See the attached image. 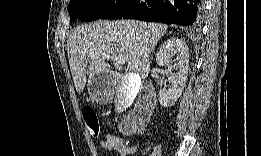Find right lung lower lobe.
<instances>
[{
	"label": "right lung lower lobe",
	"instance_id": "98d812e1",
	"mask_svg": "<svg viewBox=\"0 0 261 156\" xmlns=\"http://www.w3.org/2000/svg\"><path fill=\"white\" fill-rule=\"evenodd\" d=\"M200 0H118L102 19H138L197 27L200 21Z\"/></svg>",
	"mask_w": 261,
	"mask_h": 156
}]
</instances>
